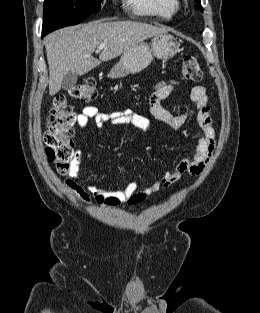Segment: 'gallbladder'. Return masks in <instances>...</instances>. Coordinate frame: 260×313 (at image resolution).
I'll return each mask as SVG.
<instances>
[{"mask_svg":"<svg viewBox=\"0 0 260 313\" xmlns=\"http://www.w3.org/2000/svg\"><path fill=\"white\" fill-rule=\"evenodd\" d=\"M78 80V75L75 72H68L62 81V89L70 90L76 84Z\"/></svg>","mask_w":260,"mask_h":313,"instance_id":"1","label":"gallbladder"}]
</instances>
